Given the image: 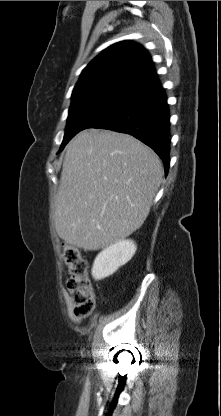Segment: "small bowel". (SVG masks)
Masks as SVG:
<instances>
[{
	"label": "small bowel",
	"mask_w": 221,
	"mask_h": 416,
	"mask_svg": "<svg viewBox=\"0 0 221 416\" xmlns=\"http://www.w3.org/2000/svg\"><path fill=\"white\" fill-rule=\"evenodd\" d=\"M63 298H64V301H65V304H66V310H67L68 316L73 321H76V322L82 320V317H77L73 314L72 306H71V300H70L69 294L66 291H63Z\"/></svg>",
	"instance_id": "obj_1"
}]
</instances>
